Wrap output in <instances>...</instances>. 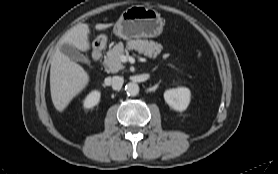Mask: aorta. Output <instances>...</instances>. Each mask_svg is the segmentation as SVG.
<instances>
[{
  "instance_id": "aorta-1",
  "label": "aorta",
  "mask_w": 278,
  "mask_h": 174,
  "mask_svg": "<svg viewBox=\"0 0 278 174\" xmlns=\"http://www.w3.org/2000/svg\"><path fill=\"white\" fill-rule=\"evenodd\" d=\"M126 92L130 96H136L139 93V86L137 83L130 82L126 85Z\"/></svg>"
}]
</instances>
